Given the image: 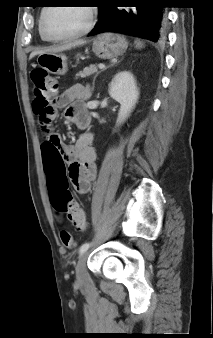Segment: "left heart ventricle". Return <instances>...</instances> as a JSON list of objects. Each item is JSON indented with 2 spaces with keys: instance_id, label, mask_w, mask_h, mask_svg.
<instances>
[{
  "instance_id": "b2bd125f",
  "label": "left heart ventricle",
  "mask_w": 213,
  "mask_h": 338,
  "mask_svg": "<svg viewBox=\"0 0 213 338\" xmlns=\"http://www.w3.org/2000/svg\"><path fill=\"white\" fill-rule=\"evenodd\" d=\"M87 22L85 7H53L46 17L45 30L50 37H63L80 31Z\"/></svg>"
}]
</instances>
